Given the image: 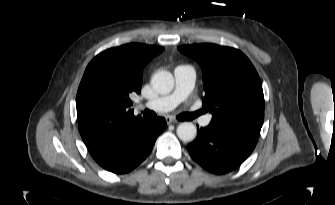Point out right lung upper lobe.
<instances>
[{
    "mask_svg": "<svg viewBox=\"0 0 335 205\" xmlns=\"http://www.w3.org/2000/svg\"><path fill=\"white\" fill-rule=\"evenodd\" d=\"M163 50L130 43L105 50L89 63L76 97L78 127L89 150L122 142L149 123L134 116L131 97L141 90L145 65Z\"/></svg>",
    "mask_w": 335,
    "mask_h": 205,
    "instance_id": "1",
    "label": "right lung upper lobe"
}]
</instances>
